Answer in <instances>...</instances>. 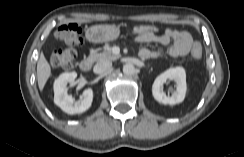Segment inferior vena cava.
<instances>
[{"mask_svg": "<svg viewBox=\"0 0 244 157\" xmlns=\"http://www.w3.org/2000/svg\"><path fill=\"white\" fill-rule=\"evenodd\" d=\"M112 66L111 61H101L94 66V72L97 74H102L109 70Z\"/></svg>", "mask_w": 244, "mask_h": 157, "instance_id": "1", "label": "inferior vena cava"}]
</instances>
